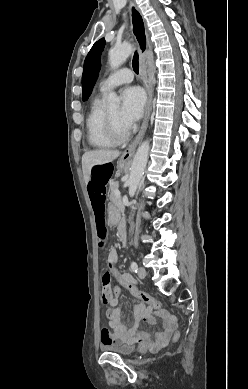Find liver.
<instances>
[{
  "label": "liver",
  "instance_id": "obj_1",
  "mask_svg": "<svg viewBox=\"0 0 248 389\" xmlns=\"http://www.w3.org/2000/svg\"><path fill=\"white\" fill-rule=\"evenodd\" d=\"M119 155L120 152L117 150H93L85 152L82 156V170L85 182H89L93 166L112 162Z\"/></svg>",
  "mask_w": 248,
  "mask_h": 389
}]
</instances>
